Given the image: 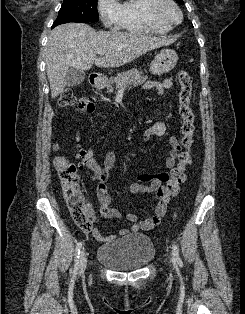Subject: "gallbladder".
<instances>
[{
	"mask_svg": "<svg viewBox=\"0 0 245 314\" xmlns=\"http://www.w3.org/2000/svg\"><path fill=\"white\" fill-rule=\"evenodd\" d=\"M86 78V74L83 70L71 68L69 69L65 81L68 87H75L81 84Z\"/></svg>",
	"mask_w": 245,
	"mask_h": 314,
	"instance_id": "bac80fb5",
	"label": "gallbladder"
}]
</instances>
